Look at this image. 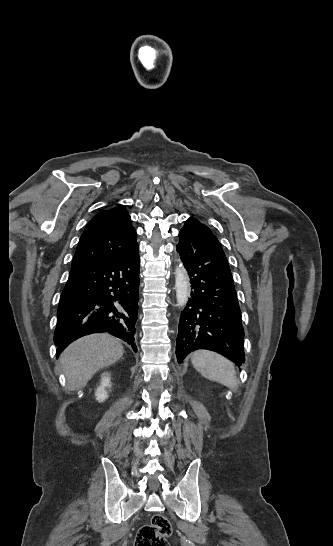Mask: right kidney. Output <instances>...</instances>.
I'll use <instances>...</instances> for the list:
<instances>
[{"label":"right kidney","instance_id":"1","mask_svg":"<svg viewBox=\"0 0 333 546\" xmlns=\"http://www.w3.org/2000/svg\"><path fill=\"white\" fill-rule=\"evenodd\" d=\"M110 379H111L110 374L107 372L101 375L100 386H98V388L95 391L96 400H98L99 402H103L108 397V394L105 388L111 387Z\"/></svg>","mask_w":333,"mask_h":546}]
</instances>
